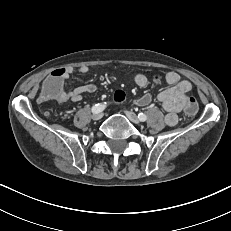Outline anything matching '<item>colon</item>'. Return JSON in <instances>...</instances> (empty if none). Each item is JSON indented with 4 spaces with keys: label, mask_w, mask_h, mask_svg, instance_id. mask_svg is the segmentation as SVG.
Here are the masks:
<instances>
[{
    "label": "colon",
    "mask_w": 231,
    "mask_h": 231,
    "mask_svg": "<svg viewBox=\"0 0 231 231\" xmlns=\"http://www.w3.org/2000/svg\"><path fill=\"white\" fill-rule=\"evenodd\" d=\"M64 78V71L62 69L53 70L41 85V90L38 94V101L40 103H47L49 100H56L60 96L59 82ZM116 101L121 102L125 98L123 91L118 90L114 94ZM183 114L186 117L196 115L198 110V102L196 97L188 96L184 98L182 105Z\"/></svg>",
    "instance_id": "1"
}]
</instances>
